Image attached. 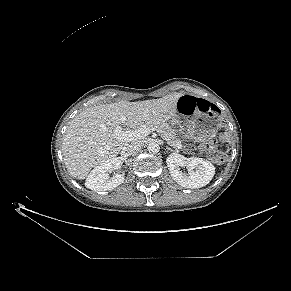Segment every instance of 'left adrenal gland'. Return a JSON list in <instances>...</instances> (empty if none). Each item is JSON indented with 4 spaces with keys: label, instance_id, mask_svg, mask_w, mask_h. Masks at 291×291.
Wrapping results in <instances>:
<instances>
[{
    "label": "left adrenal gland",
    "instance_id": "1",
    "mask_svg": "<svg viewBox=\"0 0 291 291\" xmlns=\"http://www.w3.org/2000/svg\"><path fill=\"white\" fill-rule=\"evenodd\" d=\"M166 149L167 150H169V151H174L172 148H170V147H166Z\"/></svg>",
    "mask_w": 291,
    "mask_h": 291
}]
</instances>
